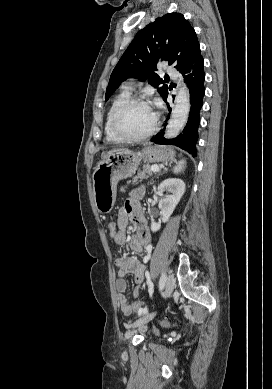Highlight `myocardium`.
I'll return each instance as SVG.
<instances>
[{
	"label": "myocardium",
	"mask_w": 272,
	"mask_h": 389,
	"mask_svg": "<svg viewBox=\"0 0 272 389\" xmlns=\"http://www.w3.org/2000/svg\"><path fill=\"white\" fill-rule=\"evenodd\" d=\"M134 104H143V105L150 106V104L147 100H145L141 97L131 96V97H128L127 99H125L116 108V110L114 111L113 116H112L111 126H112L113 133L122 141L136 142V141L145 140V139L149 138L150 136H152L156 132V130L158 129L159 117H158V114L156 112H154L155 119H154L153 125L151 126V128L147 132H145L141 135H129V134L124 133L121 130V128L119 126L120 117H121L122 113L128 107H130L131 105H134Z\"/></svg>",
	"instance_id": "f54148a6"
}]
</instances>
